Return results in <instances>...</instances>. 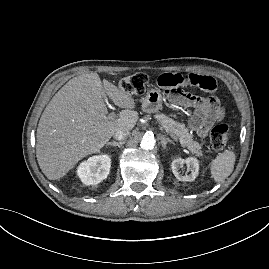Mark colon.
I'll return each instance as SVG.
<instances>
[{
  "mask_svg": "<svg viewBox=\"0 0 269 269\" xmlns=\"http://www.w3.org/2000/svg\"><path fill=\"white\" fill-rule=\"evenodd\" d=\"M213 81L215 82L214 79ZM147 82H148V77L145 74L137 73V74L130 75L123 78L120 82V88L123 92L127 94L142 95L145 92ZM162 88H166V87H162ZM166 89H169V88H166ZM170 89H173V88H170ZM203 97L205 99L212 100L213 102H218L220 100V95L216 93L215 91H210V90H205L203 92ZM231 135L232 133L228 125L219 124L215 126L210 132L211 147L215 150H221L226 147H230Z\"/></svg>",
  "mask_w": 269,
  "mask_h": 269,
  "instance_id": "colon-1",
  "label": "colon"
}]
</instances>
